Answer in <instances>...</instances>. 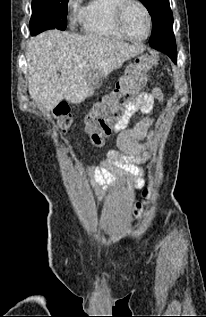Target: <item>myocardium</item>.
<instances>
[{"mask_svg": "<svg viewBox=\"0 0 206 317\" xmlns=\"http://www.w3.org/2000/svg\"><path fill=\"white\" fill-rule=\"evenodd\" d=\"M132 4L138 5L145 13L146 19H147V32L145 36L141 38H135L130 36L126 30L124 29L123 26V19L126 10L128 7ZM113 20H114V26L117 30V32L125 39H128L130 41L134 42H142L145 41L151 34L152 31V16L151 13L148 9V7L141 1V0H121L120 3H118L114 9V14H113Z\"/></svg>", "mask_w": 206, "mask_h": 317, "instance_id": "1", "label": "myocardium"}]
</instances>
